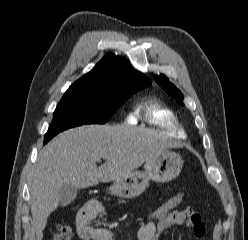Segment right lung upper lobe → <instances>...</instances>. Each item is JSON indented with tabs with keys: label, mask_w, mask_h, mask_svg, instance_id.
<instances>
[{
	"label": "right lung upper lobe",
	"mask_w": 248,
	"mask_h": 240,
	"mask_svg": "<svg viewBox=\"0 0 248 240\" xmlns=\"http://www.w3.org/2000/svg\"><path fill=\"white\" fill-rule=\"evenodd\" d=\"M130 80L150 83L144 74L134 70L125 59L109 54L104 56L93 70L72 84L68 90L111 88Z\"/></svg>",
	"instance_id": "1"
}]
</instances>
